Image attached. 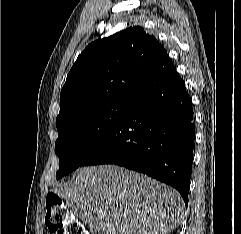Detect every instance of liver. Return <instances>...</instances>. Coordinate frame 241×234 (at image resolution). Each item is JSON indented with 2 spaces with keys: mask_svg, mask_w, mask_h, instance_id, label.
<instances>
[{
  "mask_svg": "<svg viewBox=\"0 0 241 234\" xmlns=\"http://www.w3.org/2000/svg\"><path fill=\"white\" fill-rule=\"evenodd\" d=\"M54 193L81 213L92 234H168L183 218L175 189L116 165L79 168Z\"/></svg>",
  "mask_w": 241,
  "mask_h": 234,
  "instance_id": "obj_1",
  "label": "liver"
}]
</instances>
